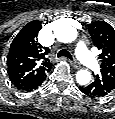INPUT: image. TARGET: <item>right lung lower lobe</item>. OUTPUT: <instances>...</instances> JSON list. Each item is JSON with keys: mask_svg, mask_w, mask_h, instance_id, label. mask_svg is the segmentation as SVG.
<instances>
[{"mask_svg": "<svg viewBox=\"0 0 115 119\" xmlns=\"http://www.w3.org/2000/svg\"><path fill=\"white\" fill-rule=\"evenodd\" d=\"M45 79H46V76L44 78H42L41 80L37 81L36 83H33L26 87L18 88V89L26 91V92L36 90L39 86H41V84L44 82Z\"/></svg>", "mask_w": 115, "mask_h": 119, "instance_id": "1", "label": "right lung lower lobe"}]
</instances>
